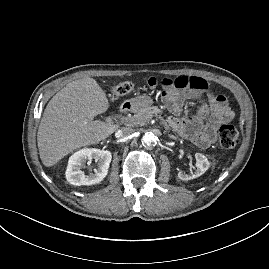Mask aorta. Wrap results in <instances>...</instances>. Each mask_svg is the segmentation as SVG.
<instances>
[{
  "label": "aorta",
  "instance_id": "aorta-1",
  "mask_svg": "<svg viewBox=\"0 0 269 269\" xmlns=\"http://www.w3.org/2000/svg\"><path fill=\"white\" fill-rule=\"evenodd\" d=\"M155 139L156 136L152 132H146L142 137V142L146 145H152Z\"/></svg>",
  "mask_w": 269,
  "mask_h": 269
}]
</instances>
